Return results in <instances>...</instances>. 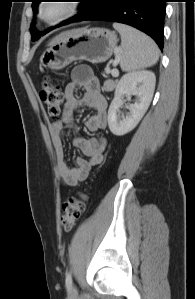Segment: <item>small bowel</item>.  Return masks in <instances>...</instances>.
Listing matches in <instances>:
<instances>
[{
    "instance_id": "c3829d8e",
    "label": "small bowel",
    "mask_w": 195,
    "mask_h": 299,
    "mask_svg": "<svg viewBox=\"0 0 195 299\" xmlns=\"http://www.w3.org/2000/svg\"><path fill=\"white\" fill-rule=\"evenodd\" d=\"M69 82L64 91L65 105L60 120L50 125L54 146L59 160L58 171L62 182L66 186H76L86 180L91 170L103 162L107 149L105 137L73 138V145L78 148L87 159L77 157V167L69 166L64 160V138L66 128L72 126L74 111L80 107L92 108L95 113L85 120V127L89 132L103 130L107 124V100L101 92L99 80L88 67H76L71 73ZM82 88L81 98L76 96L77 88Z\"/></svg>"
}]
</instances>
